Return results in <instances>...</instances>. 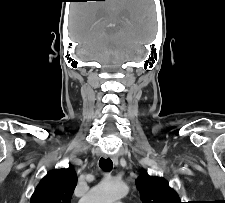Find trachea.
Here are the masks:
<instances>
[{
  "label": "trachea",
  "instance_id": "3493384b",
  "mask_svg": "<svg viewBox=\"0 0 225 203\" xmlns=\"http://www.w3.org/2000/svg\"><path fill=\"white\" fill-rule=\"evenodd\" d=\"M99 166L103 171L109 172L112 170L113 162L110 158H106V159L101 158L99 160Z\"/></svg>",
  "mask_w": 225,
  "mask_h": 203
}]
</instances>
